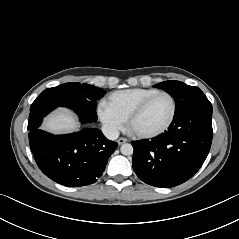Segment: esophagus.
Wrapping results in <instances>:
<instances>
[{"mask_svg":"<svg viewBox=\"0 0 239 239\" xmlns=\"http://www.w3.org/2000/svg\"><path fill=\"white\" fill-rule=\"evenodd\" d=\"M127 141L128 140L126 138L121 137L117 140V143H118V145H122V144L126 143Z\"/></svg>","mask_w":239,"mask_h":239,"instance_id":"1","label":"esophagus"}]
</instances>
